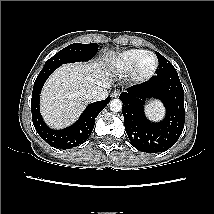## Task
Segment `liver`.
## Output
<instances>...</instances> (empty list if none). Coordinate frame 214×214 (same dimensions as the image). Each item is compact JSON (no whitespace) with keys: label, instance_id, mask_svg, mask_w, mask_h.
<instances>
[{"label":"liver","instance_id":"6515ba94","mask_svg":"<svg viewBox=\"0 0 214 214\" xmlns=\"http://www.w3.org/2000/svg\"><path fill=\"white\" fill-rule=\"evenodd\" d=\"M111 74L103 62L66 64L45 83L41 93V113L54 128L73 123L87 103L86 91L92 86L110 87Z\"/></svg>","mask_w":214,"mask_h":214}]
</instances>
